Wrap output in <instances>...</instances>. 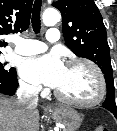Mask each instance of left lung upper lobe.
Listing matches in <instances>:
<instances>
[{"label": "left lung upper lobe", "instance_id": "obj_1", "mask_svg": "<svg viewBox=\"0 0 117 131\" xmlns=\"http://www.w3.org/2000/svg\"><path fill=\"white\" fill-rule=\"evenodd\" d=\"M62 14L65 43L77 56L90 59L104 73L107 96L103 107L117 112L107 33L93 0H58L52 4Z\"/></svg>", "mask_w": 117, "mask_h": 131}]
</instances>
